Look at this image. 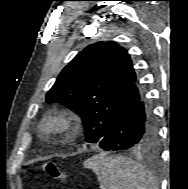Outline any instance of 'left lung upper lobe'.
I'll return each mask as SVG.
<instances>
[{"mask_svg": "<svg viewBox=\"0 0 188 189\" xmlns=\"http://www.w3.org/2000/svg\"><path fill=\"white\" fill-rule=\"evenodd\" d=\"M135 82L127 51L115 42H97L79 52L62 70L46 94V102H58L79 114L85 141L99 143L142 97ZM154 142L136 149H146Z\"/></svg>", "mask_w": 188, "mask_h": 189, "instance_id": "obj_1", "label": "left lung upper lobe"}]
</instances>
